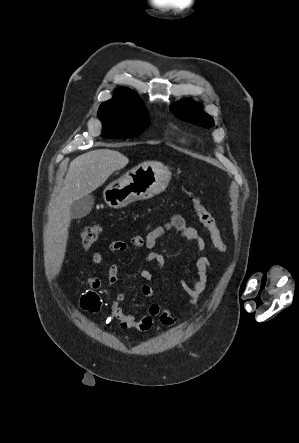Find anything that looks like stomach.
<instances>
[{"label": "stomach", "instance_id": "0dacf381", "mask_svg": "<svg viewBox=\"0 0 299 443\" xmlns=\"http://www.w3.org/2000/svg\"><path fill=\"white\" fill-rule=\"evenodd\" d=\"M171 172L163 164H140L104 190L105 202L112 208H122L134 201L145 200L163 192L169 184Z\"/></svg>", "mask_w": 299, "mask_h": 443}]
</instances>
